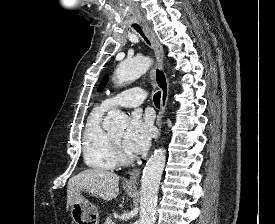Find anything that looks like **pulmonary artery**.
<instances>
[{"label":"pulmonary artery","instance_id":"e3ab8cb5","mask_svg":"<svg viewBox=\"0 0 275 224\" xmlns=\"http://www.w3.org/2000/svg\"><path fill=\"white\" fill-rule=\"evenodd\" d=\"M145 98V90L140 87H135L124 90L115 97L105 99L101 106L105 110H109L114 106L139 107L143 105Z\"/></svg>","mask_w":275,"mask_h":224}]
</instances>
